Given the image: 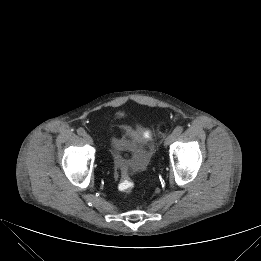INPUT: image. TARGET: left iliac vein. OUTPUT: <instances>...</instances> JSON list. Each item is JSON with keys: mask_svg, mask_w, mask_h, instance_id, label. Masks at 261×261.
<instances>
[{"mask_svg": "<svg viewBox=\"0 0 261 261\" xmlns=\"http://www.w3.org/2000/svg\"><path fill=\"white\" fill-rule=\"evenodd\" d=\"M176 135L174 133H171L168 135L164 140V146H168L170 143H172L176 139Z\"/></svg>", "mask_w": 261, "mask_h": 261, "instance_id": "obj_1", "label": "left iliac vein"}]
</instances>
